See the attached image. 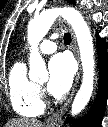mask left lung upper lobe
I'll list each match as a JSON object with an SVG mask.
<instances>
[{
	"label": "left lung upper lobe",
	"instance_id": "obj_1",
	"mask_svg": "<svg viewBox=\"0 0 108 127\" xmlns=\"http://www.w3.org/2000/svg\"><path fill=\"white\" fill-rule=\"evenodd\" d=\"M68 2H73V0H67Z\"/></svg>",
	"mask_w": 108,
	"mask_h": 127
}]
</instances>
